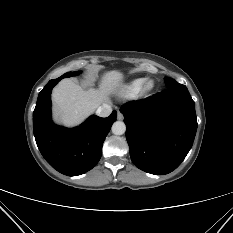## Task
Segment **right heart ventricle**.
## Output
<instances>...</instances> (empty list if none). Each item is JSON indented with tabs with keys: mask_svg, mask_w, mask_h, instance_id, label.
I'll return each mask as SVG.
<instances>
[{
	"mask_svg": "<svg viewBox=\"0 0 233 233\" xmlns=\"http://www.w3.org/2000/svg\"><path fill=\"white\" fill-rule=\"evenodd\" d=\"M144 78H137L133 81H131L124 89V94L127 96H133L137 94L144 83Z\"/></svg>",
	"mask_w": 233,
	"mask_h": 233,
	"instance_id": "right-heart-ventricle-1",
	"label": "right heart ventricle"
}]
</instances>
